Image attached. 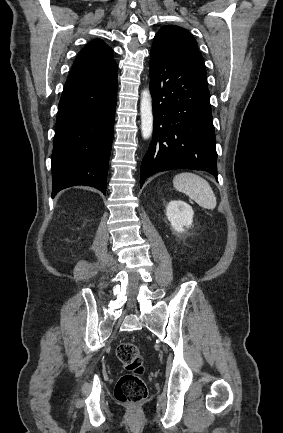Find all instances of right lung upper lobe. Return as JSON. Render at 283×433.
Instances as JSON below:
<instances>
[{"label": "right lung upper lobe", "instance_id": "right-lung-upper-lobe-1", "mask_svg": "<svg viewBox=\"0 0 283 433\" xmlns=\"http://www.w3.org/2000/svg\"><path fill=\"white\" fill-rule=\"evenodd\" d=\"M112 52L100 39L88 43L77 55L64 90L96 85L117 76Z\"/></svg>", "mask_w": 283, "mask_h": 433}]
</instances>
